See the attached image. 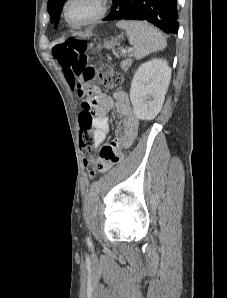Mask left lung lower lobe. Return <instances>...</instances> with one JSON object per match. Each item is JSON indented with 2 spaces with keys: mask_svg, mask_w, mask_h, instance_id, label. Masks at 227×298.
I'll return each mask as SVG.
<instances>
[{
  "mask_svg": "<svg viewBox=\"0 0 227 298\" xmlns=\"http://www.w3.org/2000/svg\"><path fill=\"white\" fill-rule=\"evenodd\" d=\"M176 0H113L104 20H147L166 33L178 32Z\"/></svg>",
  "mask_w": 227,
  "mask_h": 298,
  "instance_id": "obj_1",
  "label": "left lung lower lobe"
}]
</instances>
